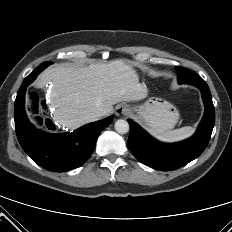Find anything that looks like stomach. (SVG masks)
<instances>
[{
	"mask_svg": "<svg viewBox=\"0 0 232 232\" xmlns=\"http://www.w3.org/2000/svg\"><path fill=\"white\" fill-rule=\"evenodd\" d=\"M134 111L154 134L169 132L175 127L179 119V112L175 106L156 97L134 107Z\"/></svg>",
	"mask_w": 232,
	"mask_h": 232,
	"instance_id": "0dacf381",
	"label": "stomach"
}]
</instances>
